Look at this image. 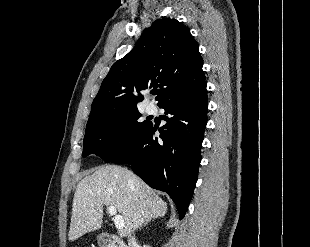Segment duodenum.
I'll use <instances>...</instances> for the list:
<instances>
[{
	"instance_id": "410a0bca",
	"label": "duodenum",
	"mask_w": 310,
	"mask_h": 247,
	"mask_svg": "<svg viewBox=\"0 0 310 247\" xmlns=\"http://www.w3.org/2000/svg\"><path fill=\"white\" fill-rule=\"evenodd\" d=\"M100 241L102 247H127L118 236L111 233H103Z\"/></svg>"
}]
</instances>
